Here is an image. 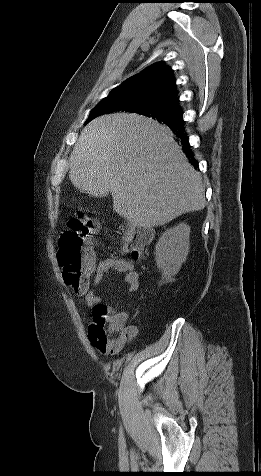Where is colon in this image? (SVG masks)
I'll use <instances>...</instances> for the list:
<instances>
[{"label":"colon","mask_w":261,"mask_h":476,"mask_svg":"<svg viewBox=\"0 0 261 476\" xmlns=\"http://www.w3.org/2000/svg\"><path fill=\"white\" fill-rule=\"evenodd\" d=\"M96 231L95 221L79 215L69 221L68 230L59 239L58 260L63 268V279L76 291L85 289L89 283L93 266L90 241ZM118 233L123 252L129 253L134 259L143 256L151 238L149 230L125 225L119 228ZM89 339L102 353H113L125 343V334L108 326V311L103 304L93 311Z\"/></svg>","instance_id":"colon-1"}]
</instances>
